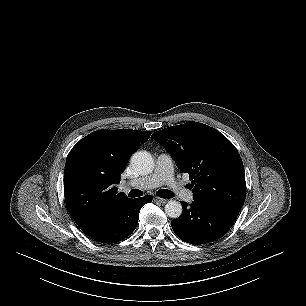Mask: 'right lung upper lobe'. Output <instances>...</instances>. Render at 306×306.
Wrapping results in <instances>:
<instances>
[{
  "label": "right lung upper lobe",
  "instance_id": "obj_1",
  "mask_svg": "<svg viewBox=\"0 0 306 306\" xmlns=\"http://www.w3.org/2000/svg\"><path fill=\"white\" fill-rule=\"evenodd\" d=\"M152 131L98 130L81 139L69 152L64 172L67 209L85 233L107 220L129 198L118 193L130 156Z\"/></svg>",
  "mask_w": 306,
  "mask_h": 306
}]
</instances>
